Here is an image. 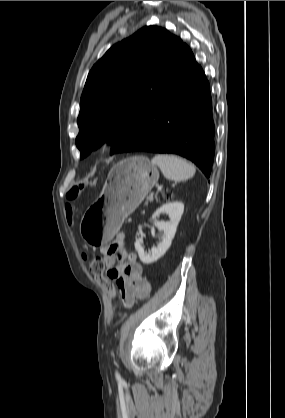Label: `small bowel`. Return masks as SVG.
<instances>
[{
    "label": "small bowel",
    "mask_w": 285,
    "mask_h": 418,
    "mask_svg": "<svg viewBox=\"0 0 285 418\" xmlns=\"http://www.w3.org/2000/svg\"><path fill=\"white\" fill-rule=\"evenodd\" d=\"M123 240L124 234L119 233L112 243L101 249V254L105 260L108 276L114 279L121 298L129 303L136 298H146L150 293V283L137 260L136 252L120 249ZM115 257L121 264H115ZM124 261L128 263L124 264Z\"/></svg>",
    "instance_id": "small-bowel-1"
}]
</instances>
